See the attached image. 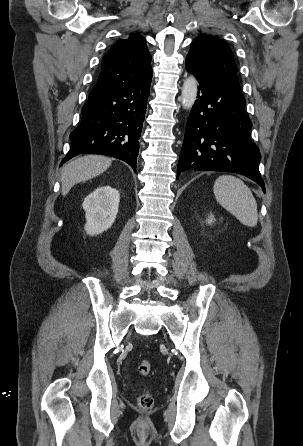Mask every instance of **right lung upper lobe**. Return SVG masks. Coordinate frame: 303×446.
<instances>
[{"mask_svg": "<svg viewBox=\"0 0 303 446\" xmlns=\"http://www.w3.org/2000/svg\"><path fill=\"white\" fill-rule=\"evenodd\" d=\"M150 61L151 55L145 39L139 33H132L127 39L117 41L103 57L101 73L89 97L150 77Z\"/></svg>", "mask_w": 303, "mask_h": 446, "instance_id": "1", "label": "right lung upper lobe"}]
</instances>
